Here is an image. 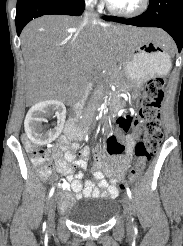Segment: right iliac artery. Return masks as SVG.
<instances>
[{"instance_id": "right-iliac-artery-1", "label": "right iliac artery", "mask_w": 183, "mask_h": 246, "mask_svg": "<svg viewBox=\"0 0 183 246\" xmlns=\"http://www.w3.org/2000/svg\"><path fill=\"white\" fill-rule=\"evenodd\" d=\"M54 190H55V187H52L50 192H49V198L53 195L54 193ZM45 225V224H44Z\"/></svg>"}]
</instances>
